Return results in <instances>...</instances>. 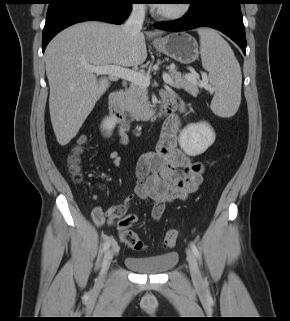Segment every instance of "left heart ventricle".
<instances>
[{
    "instance_id": "obj_1",
    "label": "left heart ventricle",
    "mask_w": 290,
    "mask_h": 321,
    "mask_svg": "<svg viewBox=\"0 0 290 321\" xmlns=\"http://www.w3.org/2000/svg\"><path fill=\"white\" fill-rule=\"evenodd\" d=\"M178 5V3H165V4H161L159 5L160 8H163V9H171V8H174Z\"/></svg>"
}]
</instances>
